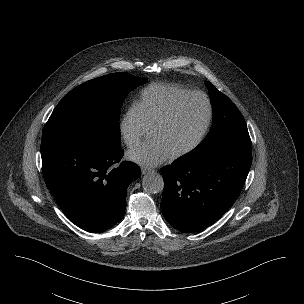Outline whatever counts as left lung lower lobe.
<instances>
[{"instance_id":"left-lung-lower-lobe-1","label":"left lung lower lobe","mask_w":304,"mask_h":304,"mask_svg":"<svg viewBox=\"0 0 304 304\" xmlns=\"http://www.w3.org/2000/svg\"><path fill=\"white\" fill-rule=\"evenodd\" d=\"M251 164V147H227L163 167L164 218L181 232L209 227L234 204Z\"/></svg>"}]
</instances>
